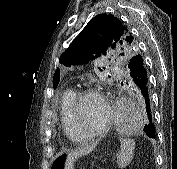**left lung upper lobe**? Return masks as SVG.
Segmentation results:
<instances>
[{"instance_id": "obj_1", "label": "left lung upper lobe", "mask_w": 177, "mask_h": 169, "mask_svg": "<svg viewBox=\"0 0 177 169\" xmlns=\"http://www.w3.org/2000/svg\"><path fill=\"white\" fill-rule=\"evenodd\" d=\"M136 54L137 43L128 27L113 15L99 14L89 21L62 53L60 63L70 67L102 55L115 56L126 63ZM56 86L54 82V88Z\"/></svg>"}]
</instances>
